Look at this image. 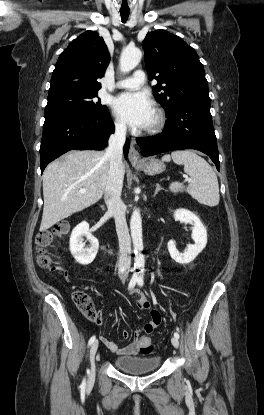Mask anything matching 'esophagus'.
Segmentation results:
<instances>
[{"label": "esophagus", "instance_id": "obj_1", "mask_svg": "<svg viewBox=\"0 0 264 415\" xmlns=\"http://www.w3.org/2000/svg\"><path fill=\"white\" fill-rule=\"evenodd\" d=\"M135 144H136L135 139L132 138L129 153H128L129 161L132 164L138 163L140 161V154L138 150L136 149Z\"/></svg>", "mask_w": 264, "mask_h": 415}]
</instances>
